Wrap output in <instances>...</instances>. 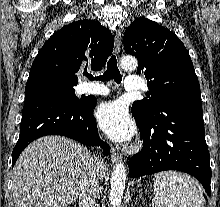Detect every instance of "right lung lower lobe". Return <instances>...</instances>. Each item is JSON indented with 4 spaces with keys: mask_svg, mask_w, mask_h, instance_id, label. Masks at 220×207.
<instances>
[{
    "mask_svg": "<svg viewBox=\"0 0 220 207\" xmlns=\"http://www.w3.org/2000/svg\"><path fill=\"white\" fill-rule=\"evenodd\" d=\"M96 102V99H85L83 103L76 104L56 87L39 82L27 83L12 166L30 142L46 135L69 137L87 146L100 145L107 156L109 146L100 139L92 114Z\"/></svg>",
    "mask_w": 220,
    "mask_h": 207,
    "instance_id": "98d812e1",
    "label": "right lung lower lobe"
}]
</instances>
